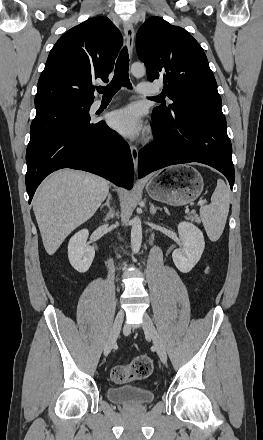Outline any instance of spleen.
Returning <instances> with one entry per match:
<instances>
[{"label": "spleen", "mask_w": 263, "mask_h": 440, "mask_svg": "<svg viewBox=\"0 0 263 440\" xmlns=\"http://www.w3.org/2000/svg\"><path fill=\"white\" fill-rule=\"evenodd\" d=\"M230 199L229 188L222 179H218L211 197V204L200 208L202 223L212 242L217 241L223 233L229 213Z\"/></svg>", "instance_id": "3e777b00"}]
</instances>
